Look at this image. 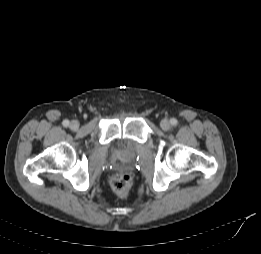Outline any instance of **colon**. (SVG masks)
Instances as JSON below:
<instances>
[{"mask_svg": "<svg viewBox=\"0 0 261 254\" xmlns=\"http://www.w3.org/2000/svg\"><path fill=\"white\" fill-rule=\"evenodd\" d=\"M112 190L120 197H126L132 186V177L127 172L116 173L110 179Z\"/></svg>", "mask_w": 261, "mask_h": 254, "instance_id": "1", "label": "colon"}]
</instances>
